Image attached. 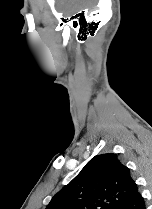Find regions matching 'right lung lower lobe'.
Listing matches in <instances>:
<instances>
[{
    "label": "right lung lower lobe",
    "instance_id": "right-lung-lower-lobe-1",
    "mask_svg": "<svg viewBox=\"0 0 152 209\" xmlns=\"http://www.w3.org/2000/svg\"><path fill=\"white\" fill-rule=\"evenodd\" d=\"M118 209H146L145 201L141 194L137 191L129 198V200Z\"/></svg>",
    "mask_w": 152,
    "mask_h": 209
}]
</instances>
